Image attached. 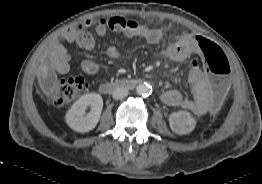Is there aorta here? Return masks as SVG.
<instances>
[{"label": "aorta", "instance_id": "1", "mask_svg": "<svg viewBox=\"0 0 262 184\" xmlns=\"http://www.w3.org/2000/svg\"><path fill=\"white\" fill-rule=\"evenodd\" d=\"M136 92L139 95L147 96L151 92V88L147 83H141L136 87Z\"/></svg>", "mask_w": 262, "mask_h": 184}]
</instances>
